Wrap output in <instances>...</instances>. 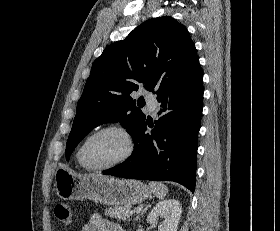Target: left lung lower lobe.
Instances as JSON below:
<instances>
[{"mask_svg": "<svg viewBox=\"0 0 280 231\" xmlns=\"http://www.w3.org/2000/svg\"><path fill=\"white\" fill-rule=\"evenodd\" d=\"M203 92V71L199 67L182 82L158 94L159 120L155 121L151 135L145 131L152 124L144 119L132 134V156L103 174L174 181L194 192Z\"/></svg>", "mask_w": 280, "mask_h": 231, "instance_id": "0a47b994", "label": "left lung lower lobe"}]
</instances>
